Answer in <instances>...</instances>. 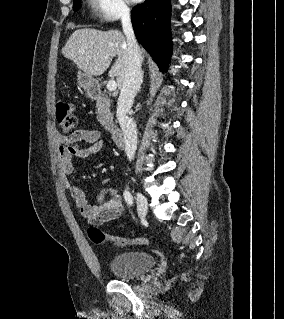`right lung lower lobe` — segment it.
<instances>
[{"instance_id":"obj_1","label":"right lung lower lobe","mask_w":284,"mask_h":319,"mask_svg":"<svg viewBox=\"0 0 284 319\" xmlns=\"http://www.w3.org/2000/svg\"><path fill=\"white\" fill-rule=\"evenodd\" d=\"M170 0H146L132 10L136 38L153 57L161 71L171 56Z\"/></svg>"}]
</instances>
